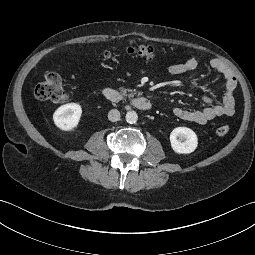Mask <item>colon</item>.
<instances>
[{
	"label": "colon",
	"mask_w": 255,
	"mask_h": 255,
	"mask_svg": "<svg viewBox=\"0 0 255 255\" xmlns=\"http://www.w3.org/2000/svg\"><path fill=\"white\" fill-rule=\"evenodd\" d=\"M127 51L130 53H137L146 58L154 56V49L149 45H138L130 43ZM111 53L106 51L103 57H109ZM35 96L44 101H51L54 103H62L67 99V93L63 88L61 77L56 72L47 73L43 80L39 82L34 89ZM229 132V127L222 125L218 127L217 134L224 136Z\"/></svg>",
	"instance_id": "5ec220e1"
}]
</instances>
